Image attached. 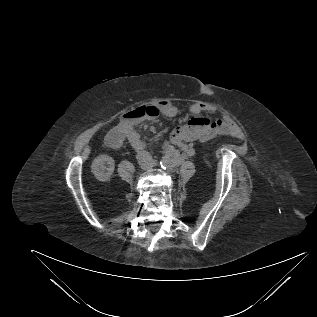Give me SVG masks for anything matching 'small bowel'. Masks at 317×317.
<instances>
[{
    "instance_id": "obj_1",
    "label": "small bowel",
    "mask_w": 317,
    "mask_h": 317,
    "mask_svg": "<svg viewBox=\"0 0 317 317\" xmlns=\"http://www.w3.org/2000/svg\"><path fill=\"white\" fill-rule=\"evenodd\" d=\"M161 114L167 118H175L179 113V107L170 100H163L159 103ZM210 109L202 103H192L189 111L192 117L184 125L177 126L171 133L170 141L164 145V152L173 158H189L195 154L193 144L195 142H206L220 134H235L237 128L229 125L222 118L211 119L204 116ZM135 123L131 120L121 122L107 136L109 138L117 133L127 138L136 149L144 147V141L134 129ZM178 149V150H177ZM180 151V154L179 152Z\"/></svg>"
}]
</instances>
